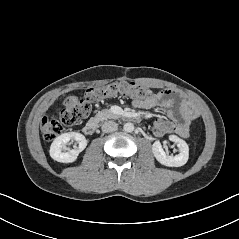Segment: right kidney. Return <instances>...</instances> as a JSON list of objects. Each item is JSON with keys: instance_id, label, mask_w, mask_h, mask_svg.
Wrapping results in <instances>:
<instances>
[{"instance_id": "1", "label": "right kidney", "mask_w": 239, "mask_h": 239, "mask_svg": "<svg viewBox=\"0 0 239 239\" xmlns=\"http://www.w3.org/2000/svg\"><path fill=\"white\" fill-rule=\"evenodd\" d=\"M74 140L78 143V147L72 150H67L66 144ZM87 146L86 138L78 132H68L61 134L52 142L50 146V156L55 161L61 163H72L74 162L79 153L83 151Z\"/></svg>"}]
</instances>
